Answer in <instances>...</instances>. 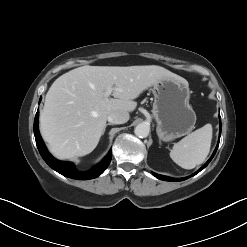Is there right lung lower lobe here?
Listing matches in <instances>:
<instances>
[{"label": "right lung lower lobe", "instance_id": "1", "mask_svg": "<svg viewBox=\"0 0 247 247\" xmlns=\"http://www.w3.org/2000/svg\"><path fill=\"white\" fill-rule=\"evenodd\" d=\"M38 115L39 112L37 111L35 120H34V135H35V140L37 144V148L39 150L40 155L44 159V161L55 171L58 173L69 177L73 179H78V180H88V179H93L101 175L105 169L108 167L111 158H112V153L109 151L107 156L94 168H92L89 171L86 172H78L75 169V166L71 162H62L50 155V153L47 151L46 146L40 136L39 130H38Z\"/></svg>", "mask_w": 247, "mask_h": 247}]
</instances>
